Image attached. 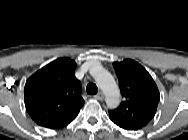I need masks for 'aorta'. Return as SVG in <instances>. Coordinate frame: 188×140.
<instances>
[{"mask_svg": "<svg viewBox=\"0 0 188 140\" xmlns=\"http://www.w3.org/2000/svg\"><path fill=\"white\" fill-rule=\"evenodd\" d=\"M98 84L105 94L109 106L115 107L119 103V90L113 77L106 71H102L98 78Z\"/></svg>", "mask_w": 188, "mask_h": 140, "instance_id": "1", "label": "aorta"}]
</instances>
